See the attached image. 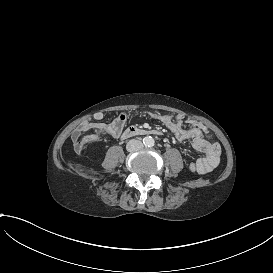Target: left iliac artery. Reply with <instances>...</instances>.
Masks as SVG:
<instances>
[{"instance_id":"obj_1","label":"left iliac artery","mask_w":273,"mask_h":273,"mask_svg":"<svg viewBox=\"0 0 273 273\" xmlns=\"http://www.w3.org/2000/svg\"><path fill=\"white\" fill-rule=\"evenodd\" d=\"M150 146H154V141H152V142L150 143Z\"/></svg>"}]
</instances>
